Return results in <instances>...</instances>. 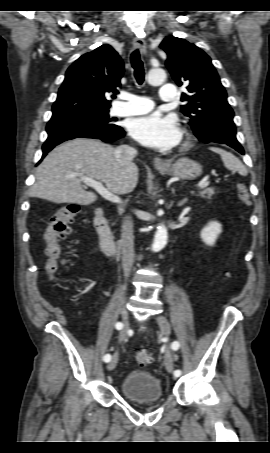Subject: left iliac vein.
<instances>
[{
    "label": "left iliac vein",
    "mask_w": 270,
    "mask_h": 453,
    "mask_svg": "<svg viewBox=\"0 0 270 453\" xmlns=\"http://www.w3.org/2000/svg\"><path fill=\"white\" fill-rule=\"evenodd\" d=\"M156 320L164 335L168 338L171 334V326L169 324V321L163 315H159ZM165 366L170 373L173 372V359L168 347L165 351Z\"/></svg>",
    "instance_id": "obj_1"
}]
</instances>
